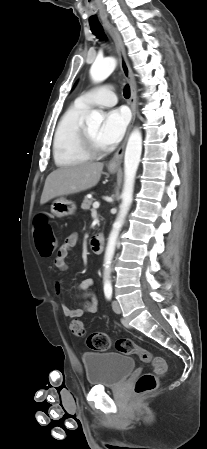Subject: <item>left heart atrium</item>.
<instances>
[{
	"instance_id": "1",
	"label": "left heart atrium",
	"mask_w": 207,
	"mask_h": 449,
	"mask_svg": "<svg viewBox=\"0 0 207 449\" xmlns=\"http://www.w3.org/2000/svg\"><path fill=\"white\" fill-rule=\"evenodd\" d=\"M129 123V114L124 108L109 111L100 127L99 139L104 146H112L123 137Z\"/></svg>"
}]
</instances>
